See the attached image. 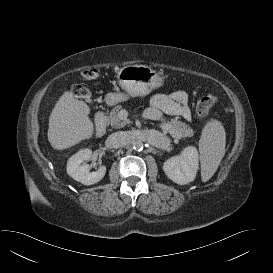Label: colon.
<instances>
[{"label": "colon", "instance_id": "5ec220e1", "mask_svg": "<svg viewBox=\"0 0 273 273\" xmlns=\"http://www.w3.org/2000/svg\"><path fill=\"white\" fill-rule=\"evenodd\" d=\"M82 76L85 79L92 80L99 77V70L96 68H88L85 69L82 72ZM71 91L75 97L81 98V99H89L91 97L90 90L81 84H75L72 86ZM217 103V98L215 96H206L200 99L196 106V112L198 116L202 119L207 118L209 115V111L212 106H214Z\"/></svg>", "mask_w": 273, "mask_h": 273}]
</instances>
